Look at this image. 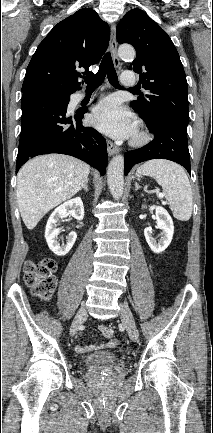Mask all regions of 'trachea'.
I'll return each instance as SVG.
<instances>
[{"label":"trachea","instance_id":"trachea-1","mask_svg":"<svg viewBox=\"0 0 213 433\" xmlns=\"http://www.w3.org/2000/svg\"><path fill=\"white\" fill-rule=\"evenodd\" d=\"M106 76H107V78H108V80L112 86H114L116 88H122L119 85L118 76H117V73L115 71L110 52H107L104 55V57L101 61V64L99 66L98 72L93 76H89V77L84 78L85 83L87 84V88L88 89L97 88L99 85H101V83L104 81V78ZM130 90H135V89L130 88Z\"/></svg>","mask_w":213,"mask_h":433}]
</instances>
